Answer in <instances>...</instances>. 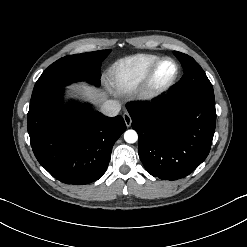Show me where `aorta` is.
I'll use <instances>...</instances> for the list:
<instances>
[{
  "label": "aorta",
  "instance_id": "1",
  "mask_svg": "<svg viewBox=\"0 0 247 247\" xmlns=\"http://www.w3.org/2000/svg\"><path fill=\"white\" fill-rule=\"evenodd\" d=\"M124 140L127 143H135L138 140V135L135 130H127L124 133Z\"/></svg>",
  "mask_w": 247,
  "mask_h": 247
}]
</instances>
